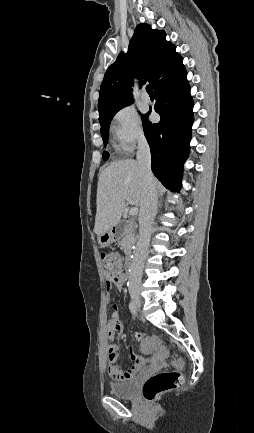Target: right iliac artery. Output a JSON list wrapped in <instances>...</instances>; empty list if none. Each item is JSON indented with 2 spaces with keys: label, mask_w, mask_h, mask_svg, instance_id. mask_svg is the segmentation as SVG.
Returning <instances> with one entry per match:
<instances>
[{
  "label": "right iliac artery",
  "mask_w": 254,
  "mask_h": 433,
  "mask_svg": "<svg viewBox=\"0 0 254 433\" xmlns=\"http://www.w3.org/2000/svg\"><path fill=\"white\" fill-rule=\"evenodd\" d=\"M129 309H130V312H131L132 314L136 315V313H137V308H136L134 302H132V301L130 302V304H129Z\"/></svg>",
  "instance_id": "1"
}]
</instances>
